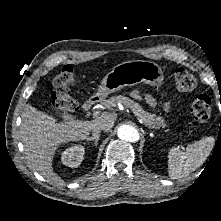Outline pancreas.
<instances>
[{"label": "pancreas", "mask_w": 221, "mask_h": 221, "mask_svg": "<svg viewBox=\"0 0 221 221\" xmlns=\"http://www.w3.org/2000/svg\"><path fill=\"white\" fill-rule=\"evenodd\" d=\"M117 103H121L125 107L130 108L137 119L141 120L148 128L159 129L166 126L163 118L153 113L146 112L138 103L128 97L117 95L103 102L104 106L108 108L115 107Z\"/></svg>", "instance_id": "pancreas-1"}]
</instances>
